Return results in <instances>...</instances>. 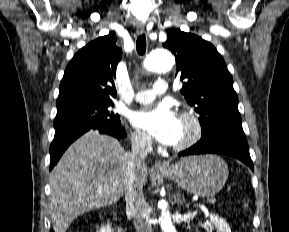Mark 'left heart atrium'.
I'll list each match as a JSON object with an SVG mask.
<instances>
[{
    "label": "left heart atrium",
    "instance_id": "obj_1",
    "mask_svg": "<svg viewBox=\"0 0 289 232\" xmlns=\"http://www.w3.org/2000/svg\"><path fill=\"white\" fill-rule=\"evenodd\" d=\"M135 127L157 141L174 145L179 136V119L166 104L144 108L132 116Z\"/></svg>",
    "mask_w": 289,
    "mask_h": 232
}]
</instances>
